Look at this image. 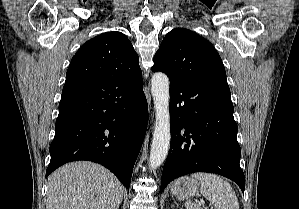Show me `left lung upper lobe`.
<instances>
[{
  "mask_svg": "<svg viewBox=\"0 0 299 209\" xmlns=\"http://www.w3.org/2000/svg\"><path fill=\"white\" fill-rule=\"evenodd\" d=\"M152 71L166 73L170 81H207L227 84L222 60L214 46L197 33L176 28L163 39Z\"/></svg>",
  "mask_w": 299,
  "mask_h": 209,
  "instance_id": "1",
  "label": "left lung upper lobe"
}]
</instances>
